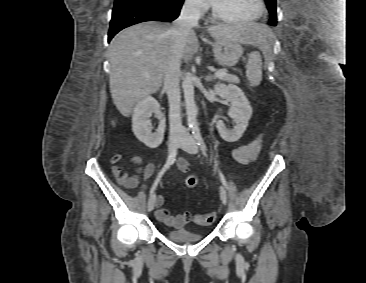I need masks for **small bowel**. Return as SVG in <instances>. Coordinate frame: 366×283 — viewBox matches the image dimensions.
<instances>
[{
    "instance_id": "small-bowel-1",
    "label": "small bowel",
    "mask_w": 366,
    "mask_h": 283,
    "mask_svg": "<svg viewBox=\"0 0 366 283\" xmlns=\"http://www.w3.org/2000/svg\"><path fill=\"white\" fill-rule=\"evenodd\" d=\"M261 146L260 138H257L248 144L240 145L232 150L233 159L239 164H248L254 161L259 153ZM112 173L116 177L118 183L125 189L132 190L139 184L140 176L143 175L145 180L149 179L155 171V166L153 163H148L144 167L142 166V158L139 156H133L131 158V163L136 166L133 173L123 170L120 163L122 162L121 155H114L111 159ZM177 167L181 172H186L189 168L188 162L180 158L177 161ZM164 197L159 196L156 201V217L159 221L167 226L173 228L182 227L188 220V213H182L178 215H171L170 212L163 207Z\"/></svg>"
}]
</instances>
